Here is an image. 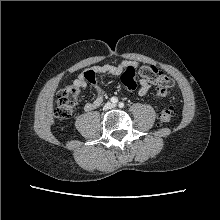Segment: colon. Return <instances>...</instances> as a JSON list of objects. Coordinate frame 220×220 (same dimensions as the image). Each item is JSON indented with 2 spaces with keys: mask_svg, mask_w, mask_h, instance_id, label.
<instances>
[{
  "mask_svg": "<svg viewBox=\"0 0 220 220\" xmlns=\"http://www.w3.org/2000/svg\"><path fill=\"white\" fill-rule=\"evenodd\" d=\"M138 77L153 84L160 96L168 95L173 86L172 79L153 65L128 66L121 77V81L127 89L134 90L137 87ZM80 95L81 89L76 85H67L60 90L56 98L55 116L58 119L70 117L79 101ZM173 116L174 109L168 107L160 113L159 122L167 124L172 120Z\"/></svg>",
  "mask_w": 220,
  "mask_h": 220,
  "instance_id": "colon-1",
  "label": "colon"
}]
</instances>
